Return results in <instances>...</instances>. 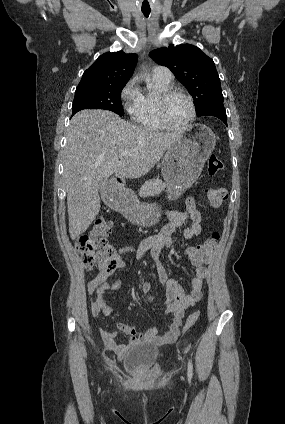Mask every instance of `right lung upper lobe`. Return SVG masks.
<instances>
[{
	"label": "right lung upper lobe",
	"instance_id": "obj_1",
	"mask_svg": "<svg viewBox=\"0 0 285 424\" xmlns=\"http://www.w3.org/2000/svg\"><path fill=\"white\" fill-rule=\"evenodd\" d=\"M137 59V54H125L123 51L104 53L83 73L78 87L127 83Z\"/></svg>",
	"mask_w": 285,
	"mask_h": 424
}]
</instances>
